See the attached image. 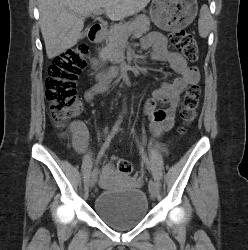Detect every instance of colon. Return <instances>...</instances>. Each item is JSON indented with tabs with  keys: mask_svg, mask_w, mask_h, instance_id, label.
<instances>
[{
	"mask_svg": "<svg viewBox=\"0 0 248 250\" xmlns=\"http://www.w3.org/2000/svg\"><path fill=\"white\" fill-rule=\"evenodd\" d=\"M169 40L189 61L198 60V45L191 33L173 30L169 33ZM87 54L88 46L84 43L77 44L56 57L48 69L46 95L51 118L57 127H64L81 109L76 80L86 67ZM200 93L197 83L190 84L186 89L180 109V132H184L195 119ZM114 162L122 173L129 174L133 170L132 164L127 160L116 158Z\"/></svg>",
	"mask_w": 248,
	"mask_h": 250,
	"instance_id": "obj_1",
	"label": "colon"
}]
</instances>
